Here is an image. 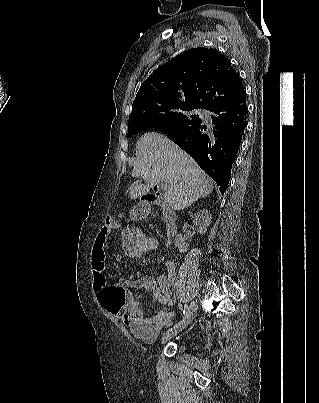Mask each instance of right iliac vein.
Listing matches in <instances>:
<instances>
[{
	"label": "right iliac vein",
	"instance_id": "1",
	"mask_svg": "<svg viewBox=\"0 0 319 403\" xmlns=\"http://www.w3.org/2000/svg\"><path fill=\"white\" fill-rule=\"evenodd\" d=\"M198 309V305L195 301H193L188 309L187 314L184 316V318L180 321L179 324H177L173 329L168 330L164 336L162 337V343L166 342L168 339H170L172 336L178 334L182 330H184L193 320L196 312Z\"/></svg>",
	"mask_w": 319,
	"mask_h": 403
}]
</instances>
